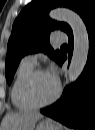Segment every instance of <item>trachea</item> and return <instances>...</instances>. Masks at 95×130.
<instances>
[{"label":"trachea","instance_id":"trachea-1","mask_svg":"<svg viewBox=\"0 0 95 130\" xmlns=\"http://www.w3.org/2000/svg\"><path fill=\"white\" fill-rule=\"evenodd\" d=\"M61 47H62V48H67V45H66V44H64V45H62Z\"/></svg>","mask_w":95,"mask_h":130}]
</instances>
